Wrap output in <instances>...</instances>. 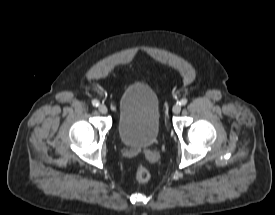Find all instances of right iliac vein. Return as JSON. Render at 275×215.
Returning <instances> with one entry per match:
<instances>
[{
    "label": "right iliac vein",
    "instance_id": "63e3f726",
    "mask_svg": "<svg viewBox=\"0 0 275 215\" xmlns=\"http://www.w3.org/2000/svg\"><path fill=\"white\" fill-rule=\"evenodd\" d=\"M98 109H99V112L102 114H106L108 112V109L104 104L99 105Z\"/></svg>",
    "mask_w": 275,
    "mask_h": 215
}]
</instances>
